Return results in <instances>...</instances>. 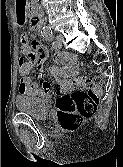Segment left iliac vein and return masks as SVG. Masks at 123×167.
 I'll return each instance as SVG.
<instances>
[{
  "mask_svg": "<svg viewBox=\"0 0 123 167\" xmlns=\"http://www.w3.org/2000/svg\"><path fill=\"white\" fill-rule=\"evenodd\" d=\"M55 43H56V49H59V48H61L62 47V44H63V36L62 35H60V34H58L57 36H56V41H55Z\"/></svg>",
  "mask_w": 123,
  "mask_h": 167,
  "instance_id": "obj_1",
  "label": "left iliac vein"
}]
</instances>
